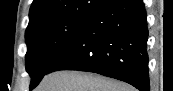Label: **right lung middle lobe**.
<instances>
[{"label":"right lung middle lobe","instance_id":"right-lung-middle-lobe-1","mask_svg":"<svg viewBox=\"0 0 173 91\" xmlns=\"http://www.w3.org/2000/svg\"><path fill=\"white\" fill-rule=\"evenodd\" d=\"M93 14L63 17L36 23L26 29V70L33 89L51 63L70 44Z\"/></svg>","mask_w":173,"mask_h":91}]
</instances>
